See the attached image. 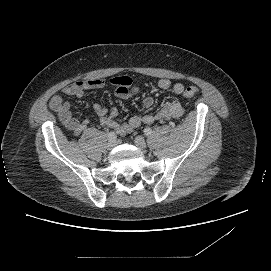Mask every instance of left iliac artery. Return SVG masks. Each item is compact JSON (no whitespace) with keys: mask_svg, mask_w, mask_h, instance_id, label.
Returning a JSON list of instances; mask_svg holds the SVG:
<instances>
[{"mask_svg":"<svg viewBox=\"0 0 271 271\" xmlns=\"http://www.w3.org/2000/svg\"><path fill=\"white\" fill-rule=\"evenodd\" d=\"M152 133V129L150 128V127H146L145 129H144V134L145 135H150Z\"/></svg>","mask_w":271,"mask_h":271,"instance_id":"obj_1","label":"left iliac artery"}]
</instances>
